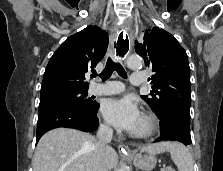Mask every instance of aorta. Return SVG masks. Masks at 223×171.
I'll return each instance as SVG.
<instances>
[{
    "label": "aorta",
    "instance_id": "obj_1",
    "mask_svg": "<svg viewBox=\"0 0 223 171\" xmlns=\"http://www.w3.org/2000/svg\"><path fill=\"white\" fill-rule=\"evenodd\" d=\"M142 65V59L139 56H130L127 59V66L131 69H138ZM118 171H129L126 165H122Z\"/></svg>",
    "mask_w": 223,
    "mask_h": 171
}]
</instances>
